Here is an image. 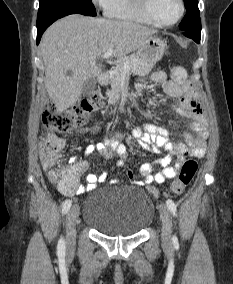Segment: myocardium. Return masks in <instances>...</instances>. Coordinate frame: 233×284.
Here are the masks:
<instances>
[{
  "instance_id": "1",
  "label": "myocardium",
  "mask_w": 233,
  "mask_h": 284,
  "mask_svg": "<svg viewBox=\"0 0 233 284\" xmlns=\"http://www.w3.org/2000/svg\"><path fill=\"white\" fill-rule=\"evenodd\" d=\"M140 1V7L142 12L144 13V15L155 25L160 26V27H171L174 26L175 24H177L183 17L184 13H185V4L183 0H178L179 6H180V11L179 14L177 16V18L172 21V22H161L160 20H158L155 15L152 12L151 9V0H139Z\"/></svg>"
}]
</instances>
